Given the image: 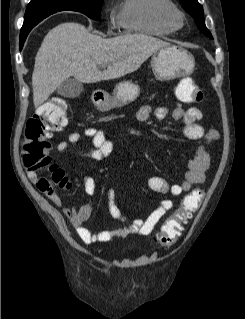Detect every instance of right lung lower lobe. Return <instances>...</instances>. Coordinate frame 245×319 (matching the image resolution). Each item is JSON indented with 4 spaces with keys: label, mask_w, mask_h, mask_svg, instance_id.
Masks as SVG:
<instances>
[{
    "label": "right lung lower lobe",
    "mask_w": 245,
    "mask_h": 319,
    "mask_svg": "<svg viewBox=\"0 0 245 319\" xmlns=\"http://www.w3.org/2000/svg\"><path fill=\"white\" fill-rule=\"evenodd\" d=\"M31 29L24 30V31L21 30V34H20V49H22L23 44H24V42L26 40V37L29 34V32L31 31Z\"/></svg>",
    "instance_id": "obj_1"
}]
</instances>
